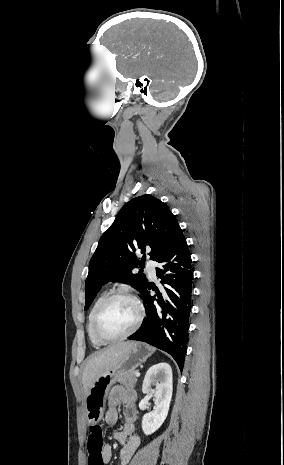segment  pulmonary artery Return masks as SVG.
<instances>
[{
    "label": "pulmonary artery",
    "mask_w": 284,
    "mask_h": 465,
    "mask_svg": "<svg viewBox=\"0 0 284 465\" xmlns=\"http://www.w3.org/2000/svg\"><path fill=\"white\" fill-rule=\"evenodd\" d=\"M144 260H148V257H144ZM149 275H150L151 277H154V276H155L154 269H150Z\"/></svg>",
    "instance_id": "pulmonary-artery-1"
}]
</instances>
